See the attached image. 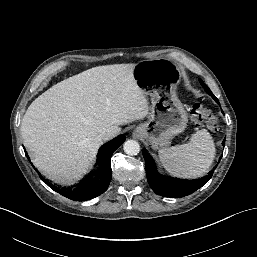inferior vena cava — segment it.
I'll return each mask as SVG.
<instances>
[{"instance_id":"602c4592","label":"inferior vena cava","mask_w":257,"mask_h":257,"mask_svg":"<svg viewBox=\"0 0 257 257\" xmlns=\"http://www.w3.org/2000/svg\"><path fill=\"white\" fill-rule=\"evenodd\" d=\"M116 135H117V131L110 129V130H106V131L101 132L99 136L102 140H109Z\"/></svg>"}]
</instances>
